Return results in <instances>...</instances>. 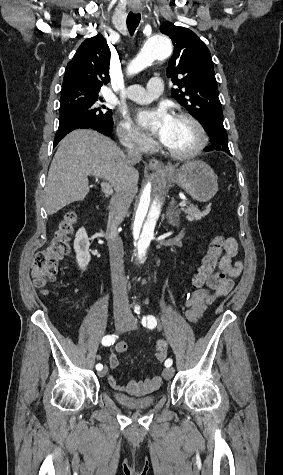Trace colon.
<instances>
[{"instance_id":"colon-1","label":"colon","mask_w":283,"mask_h":475,"mask_svg":"<svg viewBox=\"0 0 283 475\" xmlns=\"http://www.w3.org/2000/svg\"><path fill=\"white\" fill-rule=\"evenodd\" d=\"M77 225V214L69 210L59 222L54 237L49 244L38 249L32 260V275L38 288L44 287L56 278L57 264L70 254L72 236ZM225 236L217 233L203 256L199 268L192 279L193 289L199 290L200 284L211 280L214 269L220 261L225 246ZM168 342L160 339L155 344V357L158 362H163L166 355Z\"/></svg>"}]
</instances>
